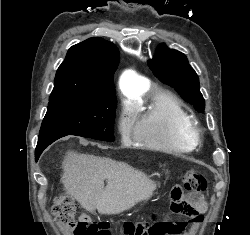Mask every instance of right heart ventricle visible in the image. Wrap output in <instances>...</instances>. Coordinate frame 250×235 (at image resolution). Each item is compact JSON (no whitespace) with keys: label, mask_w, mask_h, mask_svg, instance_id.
Instances as JSON below:
<instances>
[{"label":"right heart ventricle","mask_w":250,"mask_h":235,"mask_svg":"<svg viewBox=\"0 0 250 235\" xmlns=\"http://www.w3.org/2000/svg\"><path fill=\"white\" fill-rule=\"evenodd\" d=\"M191 123V115L176 96L158 92L146 107L136 109L135 142L170 155L189 153L194 145L186 139L184 130Z\"/></svg>","instance_id":"e07e8e85"}]
</instances>
